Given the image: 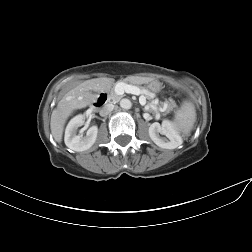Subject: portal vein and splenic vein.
I'll return each mask as SVG.
<instances>
[{
	"instance_id": "1",
	"label": "portal vein and splenic vein",
	"mask_w": 252,
	"mask_h": 252,
	"mask_svg": "<svg viewBox=\"0 0 252 252\" xmlns=\"http://www.w3.org/2000/svg\"><path fill=\"white\" fill-rule=\"evenodd\" d=\"M115 89L119 93L126 92V93H130V94H134V95H139L141 93V91H140V89L138 87L128 85V84H124V83L117 84ZM139 102L141 104H145L146 103V98L144 96H140L139 97Z\"/></svg>"
}]
</instances>
